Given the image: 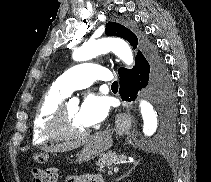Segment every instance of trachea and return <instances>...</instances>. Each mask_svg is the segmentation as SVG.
Returning <instances> with one entry per match:
<instances>
[{"label":"trachea","instance_id":"trachea-1","mask_svg":"<svg viewBox=\"0 0 211 182\" xmlns=\"http://www.w3.org/2000/svg\"><path fill=\"white\" fill-rule=\"evenodd\" d=\"M111 87H112V88H118V82H117V81H114V83L112 84Z\"/></svg>","mask_w":211,"mask_h":182}]
</instances>
